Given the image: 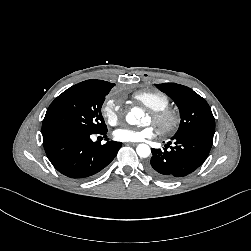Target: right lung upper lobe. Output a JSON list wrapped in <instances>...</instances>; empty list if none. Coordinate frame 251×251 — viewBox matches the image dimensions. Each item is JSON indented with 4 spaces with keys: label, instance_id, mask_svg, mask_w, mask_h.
<instances>
[{
    "label": "right lung upper lobe",
    "instance_id": "cb5924a9",
    "mask_svg": "<svg viewBox=\"0 0 251 251\" xmlns=\"http://www.w3.org/2000/svg\"><path fill=\"white\" fill-rule=\"evenodd\" d=\"M82 84H87V85H90V86H94L96 88H100V89H110L112 87L115 86V84L113 83H109V82H106V81H102V80H96V79H91V80H86L84 82H81Z\"/></svg>",
    "mask_w": 251,
    "mask_h": 251
}]
</instances>
